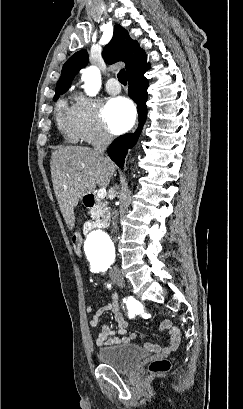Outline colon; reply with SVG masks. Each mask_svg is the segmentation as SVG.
<instances>
[{"instance_id": "1", "label": "colon", "mask_w": 243, "mask_h": 409, "mask_svg": "<svg viewBox=\"0 0 243 409\" xmlns=\"http://www.w3.org/2000/svg\"><path fill=\"white\" fill-rule=\"evenodd\" d=\"M72 244L74 248V252L80 256L82 254V240L79 235H74L72 238ZM171 367V363L166 358L156 359L152 361L149 366L148 370L152 374H159L167 372Z\"/></svg>"}]
</instances>
